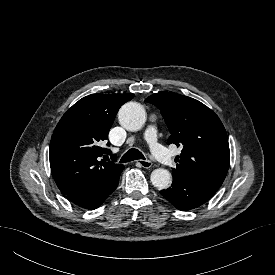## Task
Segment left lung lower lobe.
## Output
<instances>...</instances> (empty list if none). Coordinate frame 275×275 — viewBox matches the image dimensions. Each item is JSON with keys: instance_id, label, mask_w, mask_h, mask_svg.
<instances>
[{"instance_id": "obj_1", "label": "left lung lower lobe", "mask_w": 275, "mask_h": 275, "mask_svg": "<svg viewBox=\"0 0 275 275\" xmlns=\"http://www.w3.org/2000/svg\"><path fill=\"white\" fill-rule=\"evenodd\" d=\"M217 190L197 180L173 176L171 187L160 192L177 209L186 211L204 204Z\"/></svg>"}]
</instances>
